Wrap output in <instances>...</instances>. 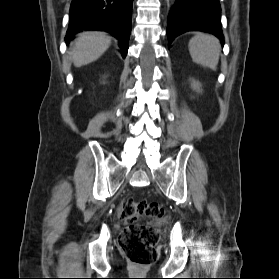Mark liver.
Listing matches in <instances>:
<instances>
[{"label": "liver", "instance_id": "6515ba94", "mask_svg": "<svg viewBox=\"0 0 279 279\" xmlns=\"http://www.w3.org/2000/svg\"><path fill=\"white\" fill-rule=\"evenodd\" d=\"M110 44V37L103 32H83L75 40L69 56L75 67H81L97 60Z\"/></svg>", "mask_w": 279, "mask_h": 279}]
</instances>
